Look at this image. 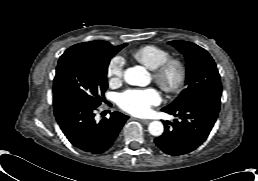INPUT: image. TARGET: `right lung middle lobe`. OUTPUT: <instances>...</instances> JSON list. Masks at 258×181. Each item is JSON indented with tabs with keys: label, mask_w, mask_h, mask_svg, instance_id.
<instances>
[{
	"label": "right lung middle lobe",
	"mask_w": 258,
	"mask_h": 181,
	"mask_svg": "<svg viewBox=\"0 0 258 181\" xmlns=\"http://www.w3.org/2000/svg\"><path fill=\"white\" fill-rule=\"evenodd\" d=\"M127 44L103 52L72 46L60 57L53 84V103L79 102L98 107L108 87L110 59Z\"/></svg>",
	"instance_id": "1"
}]
</instances>
